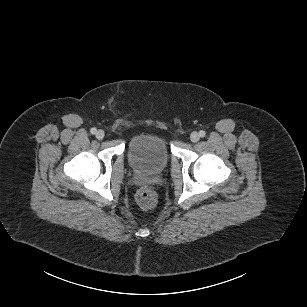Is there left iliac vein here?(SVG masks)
<instances>
[{
    "instance_id": "obj_1",
    "label": "left iliac vein",
    "mask_w": 307,
    "mask_h": 307,
    "mask_svg": "<svg viewBox=\"0 0 307 307\" xmlns=\"http://www.w3.org/2000/svg\"><path fill=\"white\" fill-rule=\"evenodd\" d=\"M200 139V135L197 132H192L190 135V140L194 143L198 142Z\"/></svg>"
}]
</instances>
